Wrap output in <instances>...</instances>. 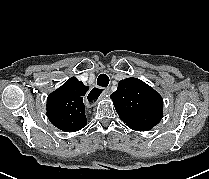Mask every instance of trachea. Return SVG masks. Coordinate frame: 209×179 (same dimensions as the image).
Wrapping results in <instances>:
<instances>
[{
  "label": "trachea",
  "mask_w": 209,
  "mask_h": 179,
  "mask_svg": "<svg viewBox=\"0 0 209 179\" xmlns=\"http://www.w3.org/2000/svg\"><path fill=\"white\" fill-rule=\"evenodd\" d=\"M97 84L101 87H107L109 84V77L106 74L99 75Z\"/></svg>",
  "instance_id": "1"
}]
</instances>
